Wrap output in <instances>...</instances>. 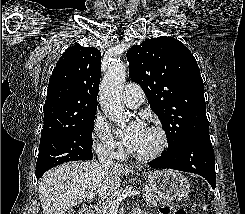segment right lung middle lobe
<instances>
[{
  "label": "right lung middle lobe",
  "instance_id": "1",
  "mask_svg": "<svg viewBox=\"0 0 245 214\" xmlns=\"http://www.w3.org/2000/svg\"><path fill=\"white\" fill-rule=\"evenodd\" d=\"M96 109L74 125L57 130L50 135H41L36 174L45 173L59 164L93 158L92 130Z\"/></svg>",
  "mask_w": 245,
  "mask_h": 214
}]
</instances>
